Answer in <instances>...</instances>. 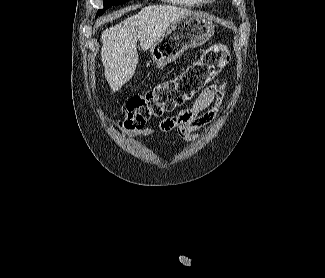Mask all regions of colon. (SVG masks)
I'll use <instances>...</instances> for the list:
<instances>
[{
	"mask_svg": "<svg viewBox=\"0 0 325 278\" xmlns=\"http://www.w3.org/2000/svg\"><path fill=\"white\" fill-rule=\"evenodd\" d=\"M224 44H215L181 74L131 97L121 108L119 128L140 130L153 117L172 111L193 98L229 63Z\"/></svg>",
	"mask_w": 325,
	"mask_h": 278,
	"instance_id": "obj_1",
	"label": "colon"
}]
</instances>
